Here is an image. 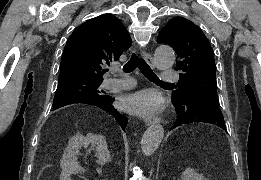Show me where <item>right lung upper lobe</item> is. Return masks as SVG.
Masks as SVG:
<instances>
[{
    "instance_id": "1",
    "label": "right lung upper lobe",
    "mask_w": 261,
    "mask_h": 180,
    "mask_svg": "<svg viewBox=\"0 0 261 180\" xmlns=\"http://www.w3.org/2000/svg\"><path fill=\"white\" fill-rule=\"evenodd\" d=\"M131 46L127 29L113 15H101L81 24L64 48L59 81L103 80L102 66L118 60Z\"/></svg>"
}]
</instances>
